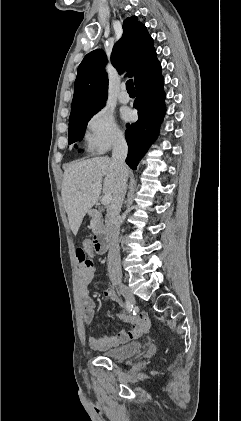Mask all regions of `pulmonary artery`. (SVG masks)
<instances>
[{"label":"pulmonary artery","instance_id":"1","mask_svg":"<svg viewBox=\"0 0 241 421\" xmlns=\"http://www.w3.org/2000/svg\"><path fill=\"white\" fill-rule=\"evenodd\" d=\"M118 100L121 103H128L130 101V96L129 94L125 91L122 90L119 94H118Z\"/></svg>","mask_w":241,"mask_h":421}]
</instances>
